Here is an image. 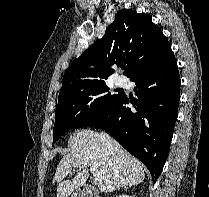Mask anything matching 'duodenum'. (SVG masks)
Returning a JSON list of instances; mask_svg holds the SVG:
<instances>
[{"label": "duodenum", "mask_w": 209, "mask_h": 197, "mask_svg": "<svg viewBox=\"0 0 209 197\" xmlns=\"http://www.w3.org/2000/svg\"><path fill=\"white\" fill-rule=\"evenodd\" d=\"M84 197H100L97 190L91 185H83L80 190Z\"/></svg>", "instance_id": "duodenum-1"}]
</instances>
